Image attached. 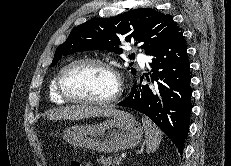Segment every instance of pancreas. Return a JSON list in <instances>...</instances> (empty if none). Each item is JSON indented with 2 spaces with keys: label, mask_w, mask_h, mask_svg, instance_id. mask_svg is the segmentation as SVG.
<instances>
[{
  "label": "pancreas",
  "mask_w": 231,
  "mask_h": 166,
  "mask_svg": "<svg viewBox=\"0 0 231 166\" xmlns=\"http://www.w3.org/2000/svg\"><path fill=\"white\" fill-rule=\"evenodd\" d=\"M98 163H101L102 166H118L121 163V160H118V157L112 160L111 157L101 156L98 159Z\"/></svg>",
  "instance_id": "1"
}]
</instances>
